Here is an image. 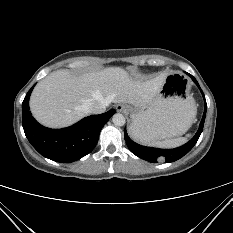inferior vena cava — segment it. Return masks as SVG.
<instances>
[{"label": "inferior vena cava", "instance_id": "602c4592", "mask_svg": "<svg viewBox=\"0 0 233 233\" xmlns=\"http://www.w3.org/2000/svg\"><path fill=\"white\" fill-rule=\"evenodd\" d=\"M109 105L107 101L104 102H93L89 105V113L91 114H101L104 113L106 107Z\"/></svg>", "mask_w": 233, "mask_h": 233}]
</instances>
